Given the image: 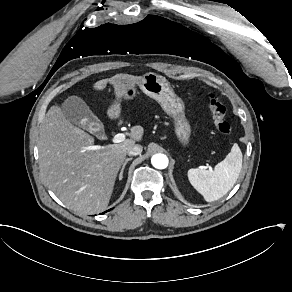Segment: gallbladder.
<instances>
[{
	"instance_id": "gallbladder-1",
	"label": "gallbladder",
	"mask_w": 292,
	"mask_h": 292,
	"mask_svg": "<svg viewBox=\"0 0 292 292\" xmlns=\"http://www.w3.org/2000/svg\"><path fill=\"white\" fill-rule=\"evenodd\" d=\"M62 111L70 122L86 130L92 123L98 121V118L92 113L84 100L77 96L68 97L62 104ZM95 135L98 139H102L104 132Z\"/></svg>"
}]
</instances>
